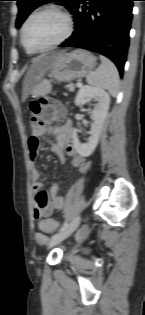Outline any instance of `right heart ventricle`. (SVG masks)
<instances>
[{
    "mask_svg": "<svg viewBox=\"0 0 145 315\" xmlns=\"http://www.w3.org/2000/svg\"><path fill=\"white\" fill-rule=\"evenodd\" d=\"M26 51H27L28 54H33V53H35V52L28 51V50H26Z\"/></svg>",
    "mask_w": 145,
    "mask_h": 315,
    "instance_id": "right-heart-ventricle-1",
    "label": "right heart ventricle"
}]
</instances>
